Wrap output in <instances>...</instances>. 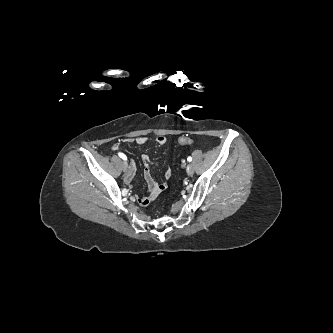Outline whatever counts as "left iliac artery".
Returning a JSON list of instances; mask_svg holds the SVG:
<instances>
[{"label": "left iliac artery", "instance_id": "1", "mask_svg": "<svg viewBox=\"0 0 333 333\" xmlns=\"http://www.w3.org/2000/svg\"><path fill=\"white\" fill-rule=\"evenodd\" d=\"M187 160H188L189 162H191V161H192V157L189 156V157L187 158Z\"/></svg>", "mask_w": 333, "mask_h": 333}]
</instances>
